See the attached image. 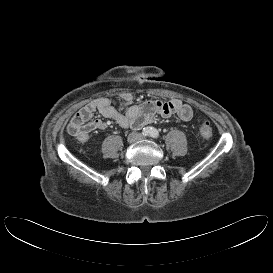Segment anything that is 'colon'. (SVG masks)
<instances>
[{"label":"colon","mask_w":273,"mask_h":273,"mask_svg":"<svg viewBox=\"0 0 273 273\" xmlns=\"http://www.w3.org/2000/svg\"><path fill=\"white\" fill-rule=\"evenodd\" d=\"M200 133L205 138H210L213 135V129L209 122H203L200 126Z\"/></svg>","instance_id":"5ec220e1"}]
</instances>
